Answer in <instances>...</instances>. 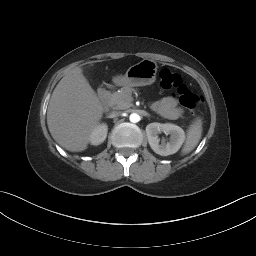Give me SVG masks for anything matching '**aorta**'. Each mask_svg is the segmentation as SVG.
<instances>
[{
	"label": "aorta",
	"instance_id": "aorta-1",
	"mask_svg": "<svg viewBox=\"0 0 256 256\" xmlns=\"http://www.w3.org/2000/svg\"><path fill=\"white\" fill-rule=\"evenodd\" d=\"M129 119L132 123H137L140 120V116L137 113H132Z\"/></svg>",
	"mask_w": 256,
	"mask_h": 256
}]
</instances>
